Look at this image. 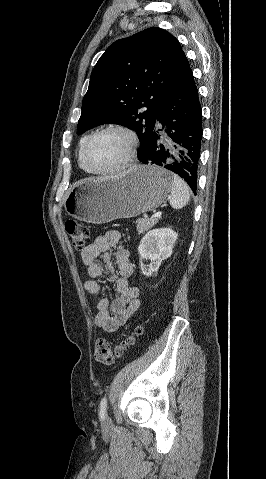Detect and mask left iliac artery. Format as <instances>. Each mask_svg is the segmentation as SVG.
Returning a JSON list of instances; mask_svg holds the SVG:
<instances>
[{
  "instance_id": "left-iliac-artery-1",
  "label": "left iliac artery",
  "mask_w": 266,
  "mask_h": 479,
  "mask_svg": "<svg viewBox=\"0 0 266 479\" xmlns=\"http://www.w3.org/2000/svg\"><path fill=\"white\" fill-rule=\"evenodd\" d=\"M106 409H107V398L104 397L102 398L99 406V416L101 419H103L106 415Z\"/></svg>"
}]
</instances>
